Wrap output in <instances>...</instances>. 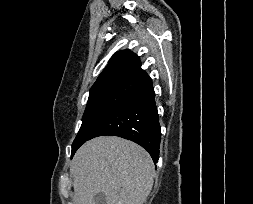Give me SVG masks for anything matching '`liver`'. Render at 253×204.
Listing matches in <instances>:
<instances>
[{"label":"liver","mask_w":253,"mask_h":204,"mask_svg":"<svg viewBox=\"0 0 253 204\" xmlns=\"http://www.w3.org/2000/svg\"><path fill=\"white\" fill-rule=\"evenodd\" d=\"M149 153L136 143L100 136L83 144L71 162L74 203L95 204L103 193L106 204H143L154 179Z\"/></svg>","instance_id":"6515ba94"}]
</instances>
